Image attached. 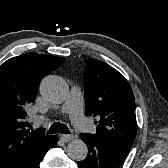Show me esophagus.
<instances>
[{"instance_id": "34e87169", "label": "esophagus", "mask_w": 168, "mask_h": 168, "mask_svg": "<svg viewBox=\"0 0 168 168\" xmlns=\"http://www.w3.org/2000/svg\"><path fill=\"white\" fill-rule=\"evenodd\" d=\"M60 138L64 142H69L74 139V135L73 134H70V135L63 134V135H61Z\"/></svg>"}]
</instances>
